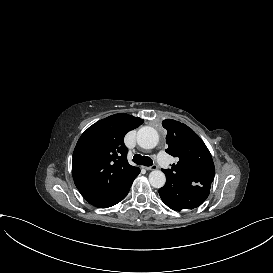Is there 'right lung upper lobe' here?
Segmentation results:
<instances>
[{
	"instance_id": "1",
	"label": "right lung upper lobe",
	"mask_w": 273,
	"mask_h": 273,
	"mask_svg": "<svg viewBox=\"0 0 273 273\" xmlns=\"http://www.w3.org/2000/svg\"><path fill=\"white\" fill-rule=\"evenodd\" d=\"M144 120L120 113L90 126L79 138L73 153L72 174L76 187L92 205L117 204L140 173L127 161L125 134Z\"/></svg>"
}]
</instances>
